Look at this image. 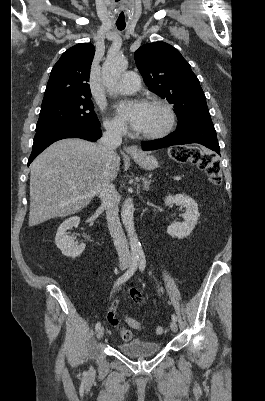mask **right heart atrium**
Returning a JSON list of instances; mask_svg holds the SVG:
<instances>
[{
    "label": "right heart atrium",
    "mask_w": 265,
    "mask_h": 401,
    "mask_svg": "<svg viewBox=\"0 0 265 401\" xmlns=\"http://www.w3.org/2000/svg\"><path fill=\"white\" fill-rule=\"evenodd\" d=\"M103 125L109 135L120 136L126 132L125 126L117 120L106 119Z\"/></svg>",
    "instance_id": "right-heart-atrium-1"
}]
</instances>
